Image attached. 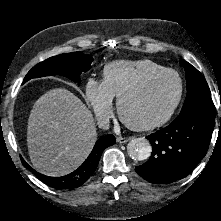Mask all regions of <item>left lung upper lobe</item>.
<instances>
[{
    "label": "left lung upper lobe",
    "mask_w": 221,
    "mask_h": 221,
    "mask_svg": "<svg viewBox=\"0 0 221 221\" xmlns=\"http://www.w3.org/2000/svg\"><path fill=\"white\" fill-rule=\"evenodd\" d=\"M180 63L185 69L187 81V96L180 114L195 105L214 106L210 89L202 74L188 62L181 60Z\"/></svg>",
    "instance_id": "5c2ea615"
}]
</instances>
